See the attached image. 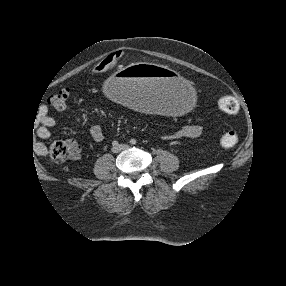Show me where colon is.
<instances>
[{"label":"colon","mask_w":286,"mask_h":286,"mask_svg":"<svg viewBox=\"0 0 286 286\" xmlns=\"http://www.w3.org/2000/svg\"><path fill=\"white\" fill-rule=\"evenodd\" d=\"M121 55L119 53H112L102 59L98 64H96L92 73L94 74H107L113 71L119 63ZM70 98V89L62 88L58 92L54 93L48 98V103L55 109L65 108L68 100ZM219 109L230 115H236L240 111V105L237 99L231 96L222 97L218 102ZM239 142V136L235 131H226L220 137V144L224 148H233ZM49 156L52 160L56 162H63L67 160L71 155L68 146L63 142H54L49 148Z\"/></svg>","instance_id":"1"}]
</instances>
